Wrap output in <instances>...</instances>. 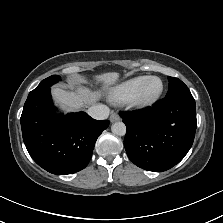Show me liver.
Returning <instances> with one entry per match:
<instances>
[{"label": "liver", "mask_w": 223, "mask_h": 223, "mask_svg": "<svg viewBox=\"0 0 223 223\" xmlns=\"http://www.w3.org/2000/svg\"><path fill=\"white\" fill-rule=\"evenodd\" d=\"M119 74L116 72L105 73L97 76L98 80L104 81L105 84H114L118 79ZM54 98L67 107L68 110H77L83 107L85 104H93L99 97L98 92H91L87 88L79 87L77 92H69L58 87H54L52 90Z\"/></svg>", "instance_id": "6515ba94"}]
</instances>
